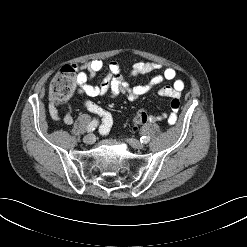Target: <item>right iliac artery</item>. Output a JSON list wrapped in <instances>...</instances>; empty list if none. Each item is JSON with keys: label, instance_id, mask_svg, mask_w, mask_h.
Listing matches in <instances>:
<instances>
[{"label": "right iliac artery", "instance_id": "1", "mask_svg": "<svg viewBox=\"0 0 247 247\" xmlns=\"http://www.w3.org/2000/svg\"><path fill=\"white\" fill-rule=\"evenodd\" d=\"M97 125H98V120H93V121L88 125V127H87V132L89 133V132L94 131V130L96 129Z\"/></svg>", "mask_w": 247, "mask_h": 247}]
</instances>
